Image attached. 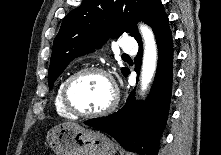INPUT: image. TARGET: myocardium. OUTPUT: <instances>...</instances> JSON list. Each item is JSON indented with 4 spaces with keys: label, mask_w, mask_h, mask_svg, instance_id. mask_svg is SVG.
Wrapping results in <instances>:
<instances>
[{
    "label": "myocardium",
    "mask_w": 221,
    "mask_h": 155,
    "mask_svg": "<svg viewBox=\"0 0 221 155\" xmlns=\"http://www.w3.org/2000/svg\"><path fill=\"white\" fill-rule=\"evenodd\" d=\"M86 74H100V75L104 76L111 85V88H112L111 101L109 102V104L105 108H103L100 111L82 112V111L76 109L72 105V103L69 99V91H70V88L73 85V83L78 78H80L81 76L86 75ZM61 101H62L64 108L69 113H71L72 115H74L76 117L99 118V117L106 116L115 110V108L117 107L118 102H119V89H118V86H117L114 78L107 70H105L101 67H96V66L85 67V68L79 69L78 71L74 72L72 75H70L66 79V81L62 87V91H61Z\"/></svg>",
    "instance_id": "1"
}]
</instances>
